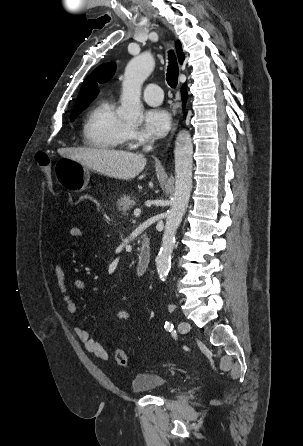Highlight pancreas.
I'll list each match as a JSON object with an SVG mask.
<instances>
[{
  "label": "pancreas",
  "instance_id": "pancreas-1",
  "mask_svg": "<svg viewBox=\"0 0 303 446\" xmlns=\"http://www.w3.org/2000/svg\"><path fill=\"white\" fill-rule=\"evenodd\" d=\"M135 204L136 202L132 200L130 196L123 195L117 201V209L121 212L122 215H126L127 211L133 208Z\"/></svg>",
  "mask_w": 303,
  "mask_h": 446
}]
</instances>
